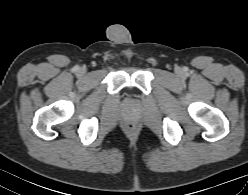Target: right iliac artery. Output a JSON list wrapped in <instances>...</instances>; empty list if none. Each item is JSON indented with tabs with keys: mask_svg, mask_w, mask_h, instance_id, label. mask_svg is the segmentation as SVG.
Listing matches in <instances>:
<instances>
[{
	"mask_svg": "<svg viewBox=\"0 0 248 195\" xmlns=\"http://www.w3.org/2000/svg\"><path fill=\"white\" fill-rule=\"evenodd\" d=\"M79 70V67L78 66H75L74 68H73V71H75V72H77Z\"/></svg>",
	"mask_w": 248,
	"mask_h": 195,
	"instance_id": "1",
	"label": "right iliac artery"
}]
</instances>
